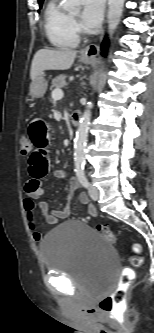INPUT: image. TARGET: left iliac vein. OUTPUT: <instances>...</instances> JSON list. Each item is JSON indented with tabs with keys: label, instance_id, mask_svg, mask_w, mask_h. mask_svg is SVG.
I'll use <instances>...</instances> for the list:
<instances>
[{
	"label": "left iliac vein",
	"instance_id": "4c4485c4",
	"mask_svg": "<svg viewBox=\"0 0 154 333\" xmlns=\"http://www.w3.org/2000/svg\"><path fill=\"white\" fill-rule=\"evenodd\" d=\"M89 196L92 200L96 201L99 198V190L93 186H89Z\"/></svg>",
	"mask_w": 154,
	"mask_h": 333
}]
</instances>
